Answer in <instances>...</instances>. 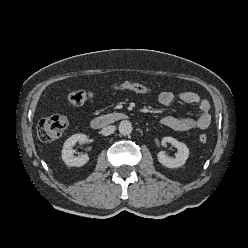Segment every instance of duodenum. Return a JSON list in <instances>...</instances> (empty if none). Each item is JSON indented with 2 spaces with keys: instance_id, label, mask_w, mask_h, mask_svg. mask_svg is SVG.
I'll list each match as a JSON object with an SVG mask.
<instances>
[{
  "instance_id": "duodenum-1",
  "label": "duodenum",
  "mask_w": 248,
  "mask_h": 248,
  "mask_svg": "<svg viewBox=\"0 0 248 248\" xmlns=\"http://www.w3.org/2000/svg\"><path fill=\"white\" fill-rule=\"evenodd\" d=\"M125 118L126 115L124 113L116 111L93 118L90 122V125L93 128H99L122 121Z\"/></svg>"
}]
</instances>
